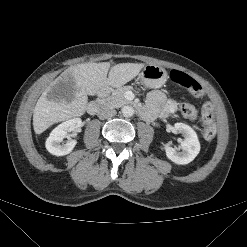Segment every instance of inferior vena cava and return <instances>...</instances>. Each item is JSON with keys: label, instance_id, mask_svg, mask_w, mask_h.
I'll return each mask as SVG.
<instances>
[{"label": "inferior vena cava", "instance_id": "inferior-vena-cava-1", "mask_svg": "<svg viewBox=\"0 0 247 247\" xmlns=\"http://www.w3.org/2000/svg\"><path fill=\"white\" fill-rule=\"evenodd\" d=\"M98 115L100 119L111 118L116 115V110L113 108H104L100 110Z\"/></svg>", "mask_w": 247, "mask_h": 247}]
</instances>
